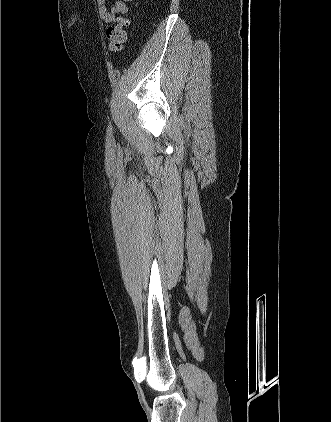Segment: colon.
I'll use <instances>...</instances> for the list:
<instances>
[{"instance_id": "5ec220e1", "label": "colon", "mask_w": 331, "mask_h": 422, "mask_svg": "<svg viewBox=\"0 0 331 422\" xmlns=\"http://www.w3.org/2000/svg\"><path fill=\"white\" fill-rule=\"evenodd\" d=\"M128 25V19L122 17L119 19L118 23L109 27L106 31V37L108 41V48L113 53H118L123 49V46L126 41V31L125 28Z\"/></svg>"}]
</instances>
